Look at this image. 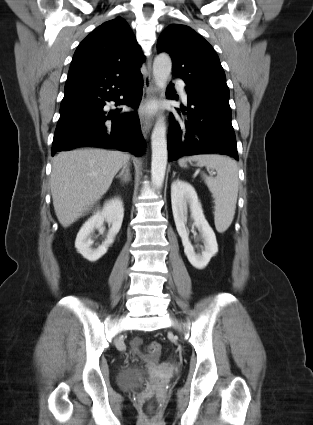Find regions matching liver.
Here are the masks:
<instances>
[{"label":"liver","mask_w":313,"mask_h":425,"mask_svg":"<svg viewBox=\"0 0 313 425\" xmlns=\"http://www.w3.org/2000/svg\"><path fill=\"white\" fill-rule=\"evenodd\" d=\"M129 159L128 154L103 149H78L55 156L50 185L60 224L69 227L85 215Z\"/></svg>","instance_id":"obj_1"}]
</instances>
